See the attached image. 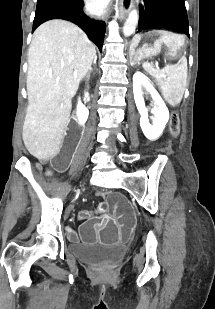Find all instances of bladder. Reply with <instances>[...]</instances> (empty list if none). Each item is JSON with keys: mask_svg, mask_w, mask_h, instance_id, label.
Returning a JSON list of instances; mask_svg holds the SVG:
<instances>
[{"mask_svg": "<svg viewBox=\"0 0 215 309\" xmlns=\"http://www.w3.org/2000/svg\"><path fill=\"white\" fill-rule=\"evenodd\" d=\"M69 251L81 262L87 264H112L119 261L125 249L119 246L86 245L73 243Z\"/></svg>", "mask_w": 215, "mask_h": 309, "instance_id": "obj_1", "label": "bladder"}]
</instances>
